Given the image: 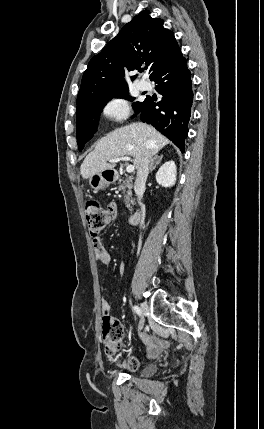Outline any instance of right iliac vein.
I'll return each instance as SVG.
<instances>
[{
  "label": "right iliac vein",
  "instance_id": "63e3f726",
  "mask_svg": "<svg viewBox=\"0 0 264 429\" xmlns=\"http://www.w3.org/2000/svg\"><path fill=\"white\" fill-rule=\"evenodd\" d=\"M140 309L142 310V308H141V305H140ZM142 312V311H141ZM144 317L145 316H143V312L140 314V318H139V330H142L143 329V327H144Z\"/></svg>",
  "mask_w": 264,
  "mask_h": 429
}]
</instances>
